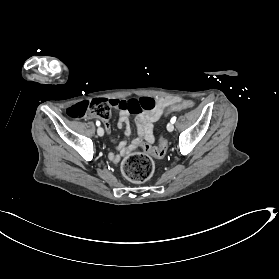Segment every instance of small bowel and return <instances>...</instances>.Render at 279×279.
<instances>
[{
	"label": "small bowel",
	"mask_w": 279,
	"mask_h": 279,
	"mask_svg": "<svg viewBox=\"0 0 279 279\" xmlns=\"http://www.w3.org/2000/svg\"><path fill=\"white\" fill-rule=\"evenodd\" d=\"M177 101L171 97H157L156 99V106L153 110L140 112L137 114L135 118V123L138 130L139 138L133 140L132 142L128 143L127 141L122 142H115V147L117 149V153L110 152L108 157L111 161L117 162L120 158V155L125 153L129 148L135 147L142 142L153 143L154 142V135H153V123L156 122L163 114L165 108L170 104L176 103ZM106 133L108 135L111 134V125L108 121L104 123ZM119 129L125 128V135H131V127H130V120H129V113L127 111H122L118 117V124Z\"/></svg>",
	"instance_id": "1"
}]
</instances>
